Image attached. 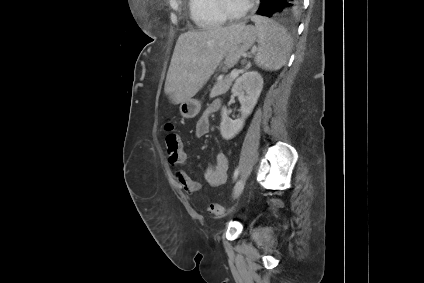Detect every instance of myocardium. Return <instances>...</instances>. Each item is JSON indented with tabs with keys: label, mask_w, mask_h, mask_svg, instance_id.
<instances>
[{
	"label": "myocardium",
	"mask_w": 424,
	"mask_h": 283,
	"mask_svg": "<svg viewBox=\"0 0 424 283\" xmlns=\"http://www.w3.org/2000/svg\"><path fill=\"white\" fill-rule=\"evenodd\" d=\"M217 5L221 14L226 20L241 21L245 19L253 10L255 5V0H250L246 8L241 12H233L232 10H230L225 0H217Z\"/></svg>",
	"instance_id": "myocardium-1"
}]
</instances>
